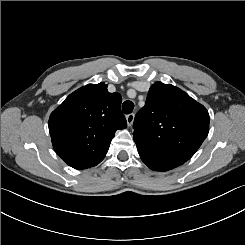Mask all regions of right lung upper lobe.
Instances as JSON below:
<instances>
[{
  "instance_id": "obj_1",
  "label": "right lung upper lobe",
  "mask_w": 245,
  "mask_h": 245,
  "mask_svg": "<svg viewBox=\"0 0 245 245\" xmlns=\"http://www.w3.org/2000/svg\"><path fill=\"white\" fill-rule=\"evenodd\" d=\"M119 93L104 83L88 84L70 94L49 118L56 153L71 167L86 169L105 157L116 130L127 127Z\"/></svg>"
}]
</instances>
